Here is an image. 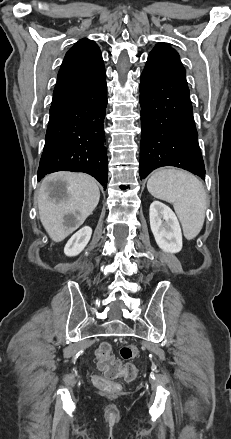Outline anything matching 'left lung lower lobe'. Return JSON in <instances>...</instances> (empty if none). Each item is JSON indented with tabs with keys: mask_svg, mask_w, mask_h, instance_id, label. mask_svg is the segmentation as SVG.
Returning a JSON list of instances; mask_svg holds the SVG:
<instances>
[{
	"mask_svg": "<svg viewBox=\"0 0 231 439\" xmlns=\"http://www.w3.org/2000/svg\"><path fill=\"white\" fill-rule=\"evenodd\" d=\"M140 178L175 166L205 178L186 72L171 50L155 46L140 80Z\"/></svg>",
	"mask_w": 231,
	"mask_h": 439,
	"instance_id": "obj_1",
	"label": "left lung lower lobe"
}]
</instances>
